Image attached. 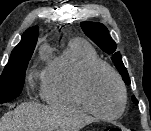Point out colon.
Segmentation results:
<instances>
[{
    "label": "colon",
    "mask_w": 151,
    "mask_h": 131,
    "mask_svg": "<svg viewBox=\"0 0 151 131\" xmlns=\"http://www.w3.org/2000/svg\"><path fill=\"white\" fill-rule=\"evenodd\" d=\"M108 131H127V130L120 128V127H112Z\"/></svg>",
    "instance_id": "1"
}]
</instances>
